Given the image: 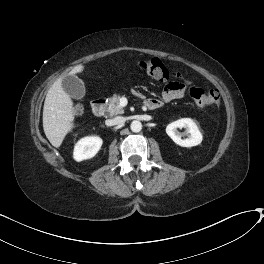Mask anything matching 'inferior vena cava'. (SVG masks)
<instances>
[{
  "mask_svg": "<svg viewBox=\"0 0 264 264\" xmlns=\"http://www.w3.org/2000/svg\"><path fill=\"white\" fill-rule=\"evenodd\" d=\"M124 122H125V118L121 117V116H118V117H115L114 119H112V124L113 125H121Z\"/></svg>",
  "mask_w": 264,
  "mask_h": 264,
  "instance_id": "obj_1",
  "label": "inferior vena cava"
}]
</instances>
